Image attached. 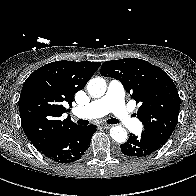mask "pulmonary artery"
Masks as SVG:
<instances>
[{"label":"pulmonary artery","mask_w":196,"mask_h":196,"mask_svg":"<svg viewBox=\"0 0 196 196\" xmlns=\"http://www.w3.org/2000/svg\"><path fill=\"white\" fill-rule=\"evenodd\" d=\"M124 88L119 81H110L105 95L90 104L76 108L73 113L81 118H99L111 112L126 128L137 131L140 126L124 102Z\"/></svg>","instance_id":"e3ab8cb5"}]
</instances>
